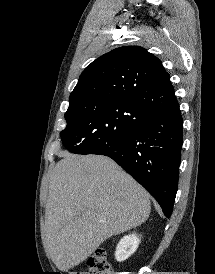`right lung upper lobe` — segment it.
Listing matches in <instances>:
<instances>
[{"label":"right lung upper lobe","mask_w":215,"mask_h":274,"mask_svg":"<svg viewBox=\"0 0 215 274\" xmlns=\"http://www.w3.org/2000/svg\"><path fill=\"white\" fill-rule=\"evenodd\" d=\"M119 100L150 113L178 105L169 74L158 58L139 46L104 54L82 72L70 103Z\"/></svg>","instance_id":"cb5924a9"}]
</instances>
